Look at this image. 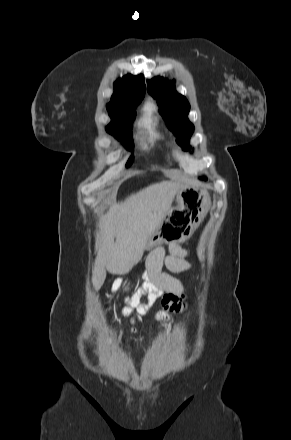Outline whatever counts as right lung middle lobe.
<instances>
[{
	"instance_id": "right-lung-middle-lobe-1",
	"label": "right lung middle lobe",
	"mask_w": 291,
	"mask_h": 440,
	"mask_svg": "<svg viewBox=\"0 0 291 440\" xmlns=\"http://www.w3.org/2000/svg\"><path fill=\"white\" fill-rule=\"evenodd\" d=\"M111 117V123L106 127V131L112 134L119 141L123 142L124 147L132 151L133 142L131 140L132 122L135 119L136 112L130 111H108ZM133 156H131L126 164L127 167L131 165Z\"/></svg>"
}]
</instances>
